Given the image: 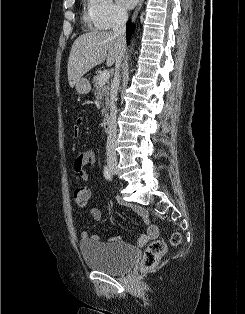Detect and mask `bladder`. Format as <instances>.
<instances>
[{
	"label": "bladder",
	"mask_w": 245,
	"mask_h": 314,
	"mask_svg": "<svg viewBox=\"0 0 245 314\" xmlns=\"http://www.w3.org/2000/svg\"><path fill=\"white\" fill-rule=\"evenodd\" d=\"M79 251L88 267L109 274L123 272L137 258V251L121 242L83 241Z\"/></svg>",
	"instance_id": "1"
}]
</instances>
